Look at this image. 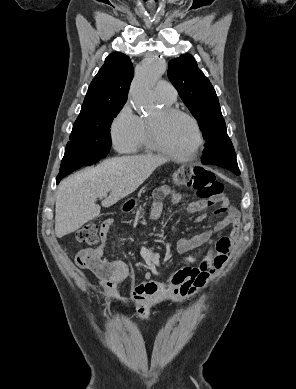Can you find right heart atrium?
Listing matches in <instances>:
<instances>
[{
	"label": "right heart atrium",
	"instance_id": "d8ad5b80",
	"mask_svg": "<svg viewBox=\"0 0 296 389\" xmlns=\"http://www.w3.org/2000/svg\"><path fill=\"white\" fill-rule=\"evenodd\" d=\"M141 118L129 103L123 105L110 125V136L115 149L121 153L133 152L141 134Z\"/></svg>",
	"mask_w": 296,
	"mask_h": 389
}]
</instances>
